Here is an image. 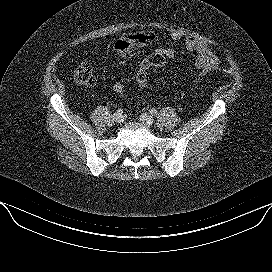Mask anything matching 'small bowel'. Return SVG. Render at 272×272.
I'll list each match as a JSON object with an SVG mask.
<instances>
[{
    "mask_svg": "<svg viewBox=\"0 0 272 272\" xmlns=\"http://www.w3.org/2000/svg\"><path fill=\"white\" fill-rule=\"evenodd\" d=\"M133 37L134 34L122 36L115 41L113 50L119 55L129 53L133 48L138 47ZM170 38L172 41H179L181 35L179 33H172ZM184 46L187 50L196 52L195 68L198 71V76L191 84V86L196 87L209 72L218 69L220 60L216 53L206 43L193 37H185ZM154 53L164 55L166 59H172L175 56V50L170 47H157ZM175 86L181 88L184 87L185 84L176 82Z\"/></svg>",
    "mask_w": 272,
    "mask_h": 272,
    "instance_id": "c3829d8e",
    "label": "small bowel"
}]
</instances>
